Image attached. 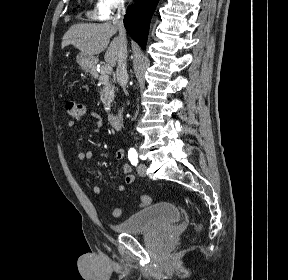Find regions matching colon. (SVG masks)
Listing matches in <instances>:
<instances>
[{
  "label": "colon",
  "mask_w": 288,
  "mask_h": 280,
  "mask_svg": "<svg viewBox=\"0 0 288 280\" xmlns=\"http://www.w3.org/2000/svg\"><path fill=\"white\" fill-rule=\"evenodd\" d=\"M66 110L68 114L76 121H80L85 113L84 106L81 103L69 101L66 103ZM151 199L148 195H143L140 199V204L142 206H146L150 204ZM122 214V210L120 208H114L112 211V215L115 218L120 217Z\"/></svg>",
  "instance_id": "colon-1"
}]
</instances>
